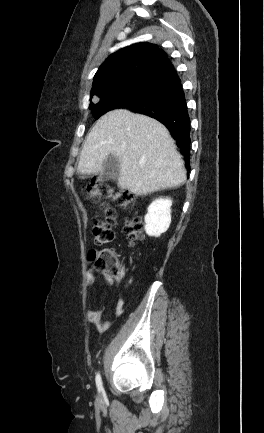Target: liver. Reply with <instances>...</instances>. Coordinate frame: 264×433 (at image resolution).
<instances>
[{
  "mask_svg": "<svg viewBox=\"0 0 264 433\" xmlns=\"http://www.w3.org/2000/svg\"><path fill=\"white\" fill-rule=\"evenodd\" d=\"M119 160L118 186L141 196L179 187L186 181L181 155L158 121L117 109L97 120L80 154V174L102 171L109 156Z\"/></svg>",
  "mask_w": 264,
  "mask_h": 433,
  "instance_id": "obj_1",
  "label": "liver"
}]
</instances>
